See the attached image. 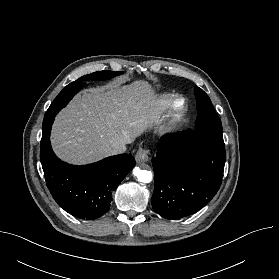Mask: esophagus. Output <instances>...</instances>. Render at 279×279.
Returning a JSON list of instances; mask_svg holds the SVG:
<instances>
[{"label":"esophagus","mask_w":279,"mask_h":279,"mask_svg":"<svg viewBox=\"0 0 279 279\" xmlns=\"http://www.w3.org/2000/svg\"><path fill=\"white\" fill-rule=\"evenodd\" d=\"M135 160L137 163H145L149 160V151L145 148H140L136 155Z\"/></svg>","instance_id":"34e87169"}]
</instances>
